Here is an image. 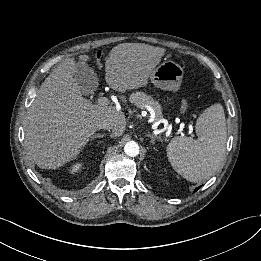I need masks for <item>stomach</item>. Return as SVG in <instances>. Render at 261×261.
<instances>
[{
    "mask_svg": "<svg viewBox=\"0 0 261 261\" xmlns=\"http://www.w3.org/2000/svg\"><path fill=\"white\" fill-rule=\"evenodd\" d=\"M183 75V68L176 62L168 60L154 70L150 80L157 88L176 92L180 89Z\"/></svg>",
    "mask_w": 261,
    "mask_h": 261,
    "instance_id": "stomach-1",
    "label": "stomach"
}]
</instances>
